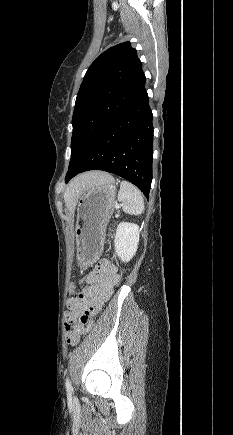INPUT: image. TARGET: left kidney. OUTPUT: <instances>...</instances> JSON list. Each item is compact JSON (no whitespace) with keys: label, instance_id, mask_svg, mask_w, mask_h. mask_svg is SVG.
Instances as JSON below:
<instances>
[{"label":"left kidney","instance_id":"1","mask_svg":"<svg viewBox=\"0 0 233 435\" xmlns=\"http://www.w3.org/2000/svg\"><path fill=\"white\" fill-rule=\"evenodd\" d=\"M139 242L137 224L122 222L118 225L114 239L116 255L123 261H130L135 255Z\"/></svg>","mask_w":233,"mask_h":435}]
</instances>
